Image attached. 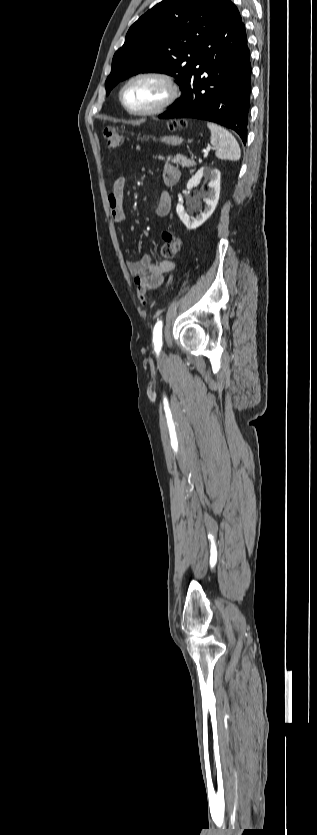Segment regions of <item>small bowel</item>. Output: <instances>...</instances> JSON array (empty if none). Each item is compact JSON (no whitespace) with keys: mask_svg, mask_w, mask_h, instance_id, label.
Wrapping results in <instances>:
<instances>
[{"mask_svg":"<svg viewBox=\"0 0 317 835\" xmlns=\"http://www.w3.org/2000/svg\"><path fill=\"white\" fill-rule=\"evenodd\" d=\"M180 179V171L173 164L167 162L162 169V180L165 186L172 187ZM124 192L125 179L118 177L112 186V190L108 195V205L112 218L117 224H121L125 220L124 213ZM171 209V196L164 190L161 192L159 201L155 208L158 216H166ZM127 269L134 279L136 286H142L148 291L157 288L163 276L174 270L176 263L173 261H156L150 255H144L138 260H129L126 262Z\"/></svg>","mask_w":317,"mask_h":835,"instance_id":"1","label":"small bowel"}]
</instances>
